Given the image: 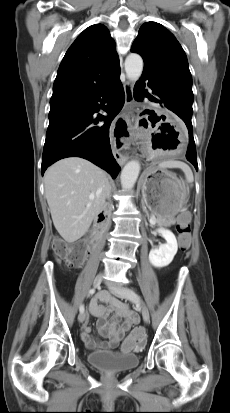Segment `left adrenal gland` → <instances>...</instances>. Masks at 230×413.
<instances>
[{
	"label": "left adrenal gland",
	"mask_w": 230,
	"mask_h": 413,
	"mask_svg": "<svg viewBox=\"0 0 230 413\" xmlns=\"http://www.w3.org/2000/svg\"><path fill=\"white\" fill-rule=\"evenodd\" d=\"M142 207H143V210L145 211V213H146V215H147V217H148V219H149V214H148V212H147V210H146V207L144 206V203L142 202Z\"/></svg>",
	"instance_id": "1"
}]
</instances>
